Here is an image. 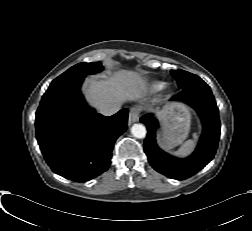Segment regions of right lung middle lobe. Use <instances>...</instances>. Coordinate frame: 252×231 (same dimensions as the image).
<instances>
[{
    "mask_svg": "<svg viewBox=\"0 0 252 231\" xmlns=\"http://www.w3.org/2000/svg\"><path fill=\"white\" fill-rule=\"evenodd\" d=\"M103 66L100 62H93V63H79L75 66L68 69L62 75L57 77L52 81L49 88H54L75 80L84 79L86 75L95 74L97 72L102 71Z\"/></svg>",
    "mask_w": 252,
    "mask_h": 231,
    "instance_id": "1",
    "label": "right lung middle lobe"
}]
</instances>
